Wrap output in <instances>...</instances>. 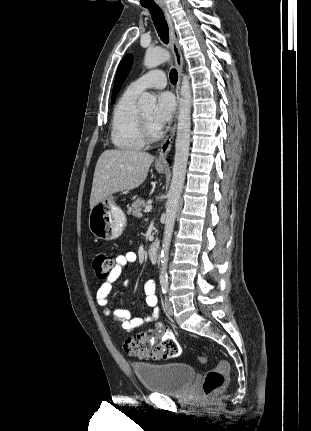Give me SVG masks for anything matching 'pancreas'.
Here are the masks:
<instances>
[{"mask_svg": "<svg viewBox=\"0 0 311 431\" xmlns=\"http://www.w3.org/2000/svg\"><path fill=\"white\" fill-rule=\"evenodd\" d=\"M145 206H148L147 202L143 200V198H137L135 202H133L131 208H128L127 214H131V216L140 217L142 216L141 212Z\"/></svg>", "mask_w": 311, "mask_h": 431, "instance_id": "1", "label": "pancreas"}]
</instances>
